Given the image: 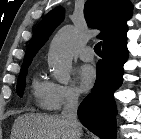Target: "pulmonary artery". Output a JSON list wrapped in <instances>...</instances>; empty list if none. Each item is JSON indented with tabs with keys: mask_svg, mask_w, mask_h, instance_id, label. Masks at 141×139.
I'll return each instance as SVG.
<instances>
[{
	"mask_svg": "<svg viewBox=\"0 0 141 139\" xmlns=\"http://www.w3.org/2000/svg\"><path fill=\"white\" fill-rule=\"evenodd\" d=\"M79 57L82 61L90 62L94 59L93 49L89 46L83 48L80 53Z\"/></svg>",
	"mask_w": 141,
	"mask_h": 139,
	"instance_id": "e3ab8cb5",
	"label": "pulmonary artery"
}]
</instances>
